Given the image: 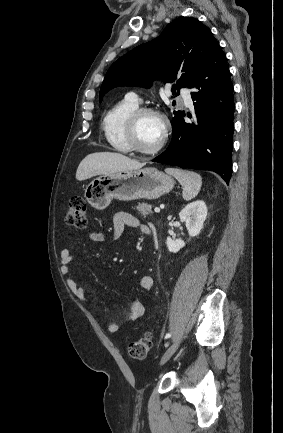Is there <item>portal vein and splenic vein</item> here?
<instances>
[{"instance_id": "portal-vein-and-splenic-vein-1", "label": "portal vein and splenic vein", "mask_w": 283, "mask_h": 433, "mask_svg": "<svg viewBox=\"0 0 283 433\" xmlns=\"http://www.w3.org/2000/svg\"><path fill=\"white\" fill-rule=\"evenodd\" d=\"M155 212H160V208H158V206H156V208H154Z\"/></svg>"}]
</instances>
